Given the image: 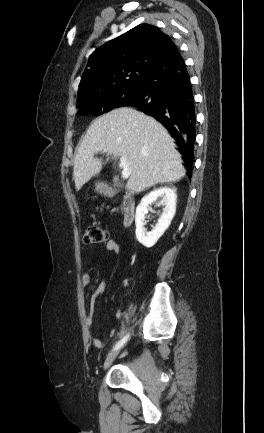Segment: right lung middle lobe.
Returning a JSON list of instances; mask_svg holds the SVG:
<instances>
[{
    "instance_id": "right-lung-middle-lobe-1",
    "label": "right lung middle lobe",
    "mask_w": 264,
    "mask_h": 433,
    "mask_svg": "<svg viewBox=\"0 0 264 433\" xmlns=\"http://www.w3.org/2000/svg\"><path fill=\"white\" fill-rule=\"evenodd\" d=\"M140 89V85L123 86L102 95L78 100L77 107L81 114L98 116L114 108L121 107L128 99L136 96Z\"/></svg>"
}]
</instances>
